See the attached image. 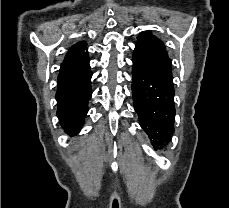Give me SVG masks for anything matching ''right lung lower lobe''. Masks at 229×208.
Instances as JSON below:
<instances>
[{
  "mask_svg": "<svg viewBox=\"0 0 229 208\" xmlns=\"http://www.w3.org/2000/svg\"><path fill=\"white\" fill-rule=\"evenodd\" d=\"M90 66L82 75L58 85L56 92L57 116L65 132L75 135L84 125L91 98Z\"/></svg>",
  "mask_w": 229,
  "mask_h": 208,
  "instance_id": "right-lung-lower-lobe-1",
  "label": "right lung lower lobe"
}]
</instances>
